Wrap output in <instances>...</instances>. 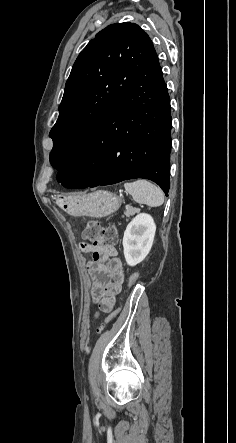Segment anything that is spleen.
Here are the masks:
<instances>
[{
    "mask_svg": "<svg viewBox=\"0 0 236 443\" xmlns=\"http://www.w3.org/2000/svg\"><path fill=\"white\" fill-rule=\"evenodd\" d=\"M125 190L139 204L158 207L164 203V194L156 185L147 180H137L124 184Z\"/></svg>",
    "mask_w": 236,
    "mask_h": 443,
    "instance_id": "obj_1",
    "label": "spleen"
}]
</instances>
